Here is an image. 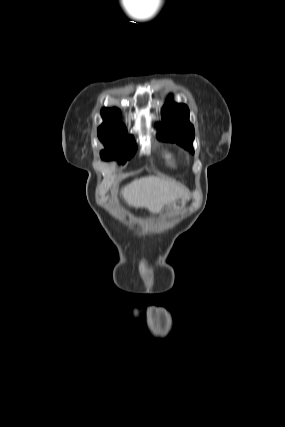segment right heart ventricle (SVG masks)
Segmentation results:
<instances>
[{"instance_id":"right-heart-ventricle-1","label":"right heart ventricle","mask_w":285,"mask_h":427,"mask_svg":"<svg viewBox=\"0 0 285 427\" xmlns=\"http://www.w3.org/2000/svg\"><path fill=\"white\" fill-rule=\"evenodd\" d=\"M162 157L167 165L176 167L179 163V157L175 151L169 148H165L161 152Z\"/></svg>"}]
</instances>
